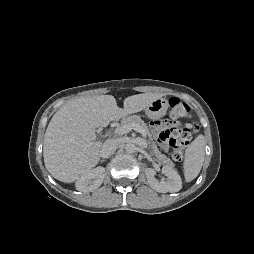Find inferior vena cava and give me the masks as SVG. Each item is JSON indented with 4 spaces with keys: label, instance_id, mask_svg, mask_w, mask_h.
Returning <instances> with one entry per match:
<instances>
[{
    "label": "inferior vena cava",
    "instance_id": "obj_1",
    "mask_svg": "<svg viewBox=\"0 0 254 254\" xmlns=\"http://www.w3.org/2000/svg\"><path fill=\"white\" fill-rule=\"evenodd\" d=\"M117 147H118L117 140L108 139L103 143L102 148L100 150V154L102 157L107 158L115 152Z\"/></svg>",
    "mask_w": 254,
    "mask_h": 254
}]
</instances>
